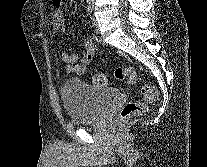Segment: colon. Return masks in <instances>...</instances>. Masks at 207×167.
<instances>
[{"mask_svg": "<svg viewBox=\"0 0 207 167\" xmlns=\"http://www.w3.org/2000/svg\"><path fill=\"white\" fill-rule=\"evenodd\" d=\"M117 79H127L132 85L138 82L137 73L130 67L117 68L115 71ZM92 82L96 86L106 87L110 83V79L105 74H95L92 77ZM142 99L140 101L127 102L119 112V120L125 121L131 117L142 114L149 105L153 104L158 99V91L151 85H144L141 88Z\"/></svg>", "mask_w": 207, "mask_h": 167, "instance_id": "5ec220e1", "label": "colon"}]
</instances>
